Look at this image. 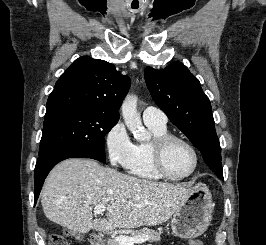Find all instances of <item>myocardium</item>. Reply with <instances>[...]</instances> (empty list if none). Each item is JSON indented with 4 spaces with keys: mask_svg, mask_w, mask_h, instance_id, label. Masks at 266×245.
Returning a JSON list of instances; mask_svg holds the SVG:
<instances>
[{
    "mask_svg": "<svg viewBox=\"0 0 266 245\" xmlns=\"http://www.w3.org/2000/svg\"><path fill=\"white\" fill-rule=\"evenodd\" d=\"M181 141L185 143L193 152L194 154V166L191 170V172L181 178H175L172 175L169 174L167 171L165 164H164V154L167 146L172 142V141ZM151 157H152V162L153 165L157 171V173L166 180L173 181V182H182L189 180L191 177L194 176V174L197 172L199 163H200V156L197 148L194 146V144L188 140L187 138L177 135V134H172V133H167L158 137H155L152 142H151Z\"/></svg>",
    "mask_w": 266,
    "mask_h": 245,
    "instance_id": "obj_1",
    "label": "myocardium"
}]
</instances>
